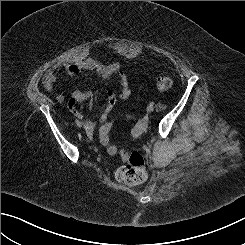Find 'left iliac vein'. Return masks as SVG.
Instances as JSON below:
<instances>
[{
  "instance_id": "left-iliac-vein-1",
  "label": "left iliac vein",
  "mask_w": 245,
  "mask_h": 245,
  "mask_svg": "<svg viewBox=\"0 0 245 245\" xmlns=\"http://www.w3.org/2000/svg\"><path fill=\"white\" fill-rule=\"evenodd\" d=\"M153 111H154V107L153 106L150 105V106L147 107V112L151 113Z\"/></svg>"
}]
</instances>
